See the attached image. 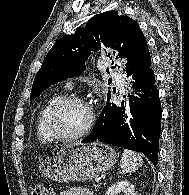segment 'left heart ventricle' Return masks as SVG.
Listing matches in <instances>:
<instances>
[{
	"mask_svg": "<svg viewBox=\"0 0 189 195\" xmlns=\"http://www.w3.org/2000/svg\"><path fill=\"white\" fill-rule=\"evenodd\" d=\"M88 120L89 111L85 106L71 104L59 113L56 124L61 133L74 135L85 128Z\"/></svg>",
	"mask_w": 189,
	"mask_h": 195,
	"instance_id": "1",
	"label": "left heart ventricle"
}]
</instances>
